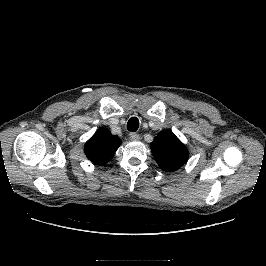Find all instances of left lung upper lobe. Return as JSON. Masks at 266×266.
I'll use <instances>...</instances> for the list:
<instances>
[{
  "instance_id": "1",
  "label": "left lung upper lobe",
  "mask_w": 266,
  "mask_h": 266,
  "mask_svg": "<svg viewBox=\"0 0 266 266\" xmlns=\"http://www.w3.org/2000/svg\"><path fill=\"white\" fill-rule=\"evenodd\" d=\"M150 146L157 164L166 172L181 168L189 157L186 146L170 130L160 132Z\"/></svg>"
}]
</instances>
